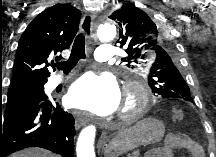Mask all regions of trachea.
<instances>
[{
    "label": "trachea",
    "instance_id": "1",
    "mask_svg": "<svg viewBox=\"0 0 216 157\" xmlns=\"http://www.w3.org/2000/svg\"><path fill=\"white\" fill-rule=\"evenodd\" d=\"M85 58V36L79 34L74 41L72 46L70 57L67 61L57 62L55 66L62 70L64 73H68L72 70L80 59Z\"/></svg>",
    "mask_w": 216,
    "mask_h": 157
}]
</instances>
